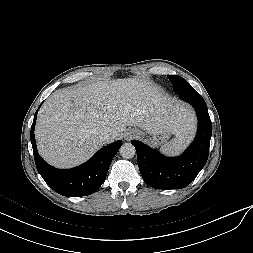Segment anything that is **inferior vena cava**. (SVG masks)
<instances>
[{"mask_svg": "<svg viewBox=\"0 0 253 253\" xmlns=\"http://www.w3.org/2000/svg\"><path fill=\"white\" fill-rule=\"evenodd\" d=\"M99 139L103 144L109 143L111 139V132L108 130L101 131L99 133Z\"/></svg>", "mask_w": 253, "mask_h": 253, "instance_id": "602c4592", "label": "inferior vena cava"}]
</instances>
